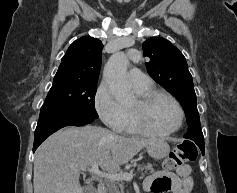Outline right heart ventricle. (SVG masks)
Returning a JSON list of instances; mask_svg holds the SVG:
<instances>
[{"label": "right heart ventricle", "instance_id": "1", "mask_svg": "<svg viewBox=\"0 0 237 193\" xmlns=\"http://www.w3.org/2000/svg\"><path fill=\"white\" fill-rule=\"evenodd\" d=\"M134 90L139 96H142L144 94L151 92L152 87L143 88V89L134 88ZM124 110H125V124H124V128L122 132L127 133V134H139L140 132H138L132 124L130 109L124 108Z\"/></svg>", "mask_w": 237, "mask_h": 193}]
</instances>
